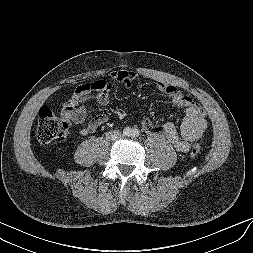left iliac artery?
Returning <instances> with one entry per match:
<instances>
[{"instance_id": "44dca946", "label": "left iliac artery", "mask_w": 253, "mask_h": 253, "mask_svg": "<svg viewBox=\"0 0 253 253\" xmlns=\"http://www.w3.org/2000/svg\"><path fill=\"white\" fill-rule=\"evenodd\" d=\"M131 136H132L133 138L139 137V136H140L139 130H138V129H133V130H132V133H131Z\"/></svg>"}]
</instances>
